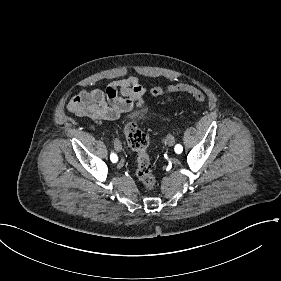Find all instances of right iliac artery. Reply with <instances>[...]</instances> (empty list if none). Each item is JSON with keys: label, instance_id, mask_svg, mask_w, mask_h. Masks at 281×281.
<instances>
[{"label": "right iliac artery", "instance_id": "82829eb1", "mask_svg": "<svg viewBox=\"0 0 281 281\" xmlns=\"http://www.w3.org/2000/svg\"><path fill=\"white\" fill-rule=\"evenodd\" d=\"M110 159L113 163H115L118 160V157L116 156V154L112 153Z\"/></svg>", "mask_w": 281, "mask_h": 281}]
</instances>
